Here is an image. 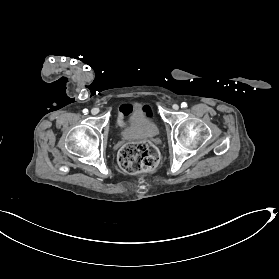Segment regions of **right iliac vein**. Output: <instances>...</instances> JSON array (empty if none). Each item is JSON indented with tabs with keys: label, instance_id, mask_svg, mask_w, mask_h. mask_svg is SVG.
Listing matches in <instances>:
<instances>
[{
	"label": "right iliac vein",
	"instance_id": "1",
	"mask_svg": "<svg viewBox=\"0 0 279 279\" xmlns=\"http://www.w3.org/2000/svg\"><path fill=\"white\" fill-rule=\"evenodd\" d=\"M98 112H99L98 108H93V109L91 110V114H92V115H96V114H98Z\"/></svg>",
	"mask_w": 279,
	"mask_h": 279
}]
</instances>
